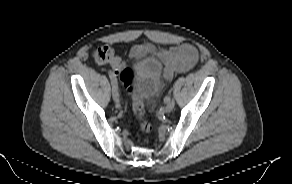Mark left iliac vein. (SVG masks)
<instances>
[{
  "instance_id": "4c4485c4",
  "label": "left iliac vein",
  "mask_w": 292,
  "mask_h": 184,
  "mask_svg": "<svg viewBox=\"0 0 292 184\" xmlns=\"http://www.w3.org/2000/svg\"><path fill=\"white\" fill-rule=\"evenodd\" d=\"M175 106V102L170 98V100L166 103L165 112L170 113Z\"/></svg>"
}]
</instances>
